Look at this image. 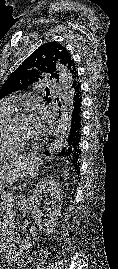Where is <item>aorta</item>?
<instances>
[{
  "mask_svg": "<svg viewBox=\"0 0 118 269\" xmlns=\"http://www.w3.org/2000/svg\"><path fill=\"white\" fill-rule=\"evenodd\" d=\"M57 69L59 71V82L62 86L64 91L63 95V106H62V113L60 119L57 124L55 137L50 145L49 152L50 155L53 156L57 154L63 145L64 139L67 135L69 122H70V100L72 94V76L68 69L60 63H57Z\"/></svg>",
  "mask_w": 118,
  "mask_h": 269,
  "instance_id": "1",
  "label": "aorta"
}]
</instances>
